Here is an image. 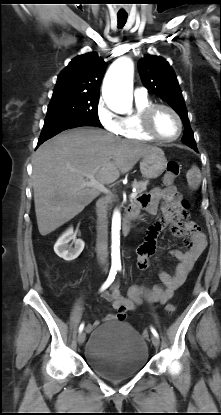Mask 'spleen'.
<instances>
[{
    "label": "spleen",
    "instance_id": "spleen-1",
    "mask_svg": "<svg viewBox=\"0 0 221 415\" xmlns=\"http://www.w3.org/2000/svg\"><path fill=\"white\" fill-rule=\"evenodd\" d=\"M187 182L188 185L193 190H197L201 183V173L198 167L193 166L188 172H187Z\"/></svg>",
    "mask_w": 221,
    "mask_h": 415
}]
</instances>
